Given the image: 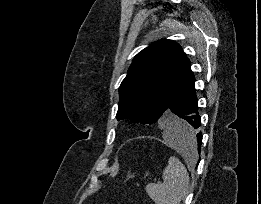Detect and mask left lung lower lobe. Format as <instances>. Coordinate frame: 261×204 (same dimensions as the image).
Listing matches in <instances>:
<instances>
[{
	"instance_id": "obj_1",
	"label": "left lung lower lobe",
	"mask_w": 261,
	"mask_h": 204,
	"mask_svg": "<svg viewBox=\"0 0 261 204\" xmlns=\"http://www.w3.org/2000/svg\"><path fill=\"white\" fill-rule=\"evenodd\" d=\"M195 77L190 70L189 74L176 91L167 109L164 125L169 134L178 141H196V150L200 153L202 133L198 132L201 126V117L198 112L196 90L194 87ZM177 115L179 120H175ZM198 147V148H197ZM189 153H193L190 149Z\"/></svg>"
}]
</instances>
